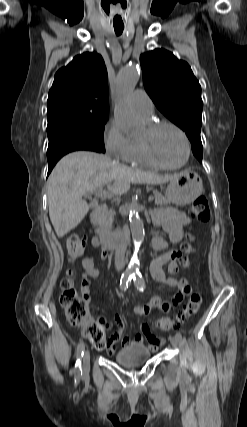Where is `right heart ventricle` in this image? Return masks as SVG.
I'll list each match as a JSON object with an SVG mask.
<instances>
[{
  "label": "right heart ventricle",
  "mask_w": 247,
  "mask_h": 427,
  "mask_svg": "<svg viewBox=\"0 0 247 427\" xmlns=\"http://www.w3.org/2000/svg\"><path fill=\"white\" fill-rule=\"evenodd\" d=\"M128 161L138 164L150 165L142 155L139 142L136 140L131 141V151Z\"/></svg>",
  "instance_id": "right-heart-ventricle-1"
}]
</instances>
